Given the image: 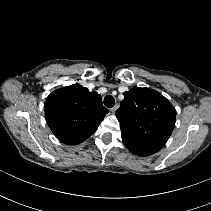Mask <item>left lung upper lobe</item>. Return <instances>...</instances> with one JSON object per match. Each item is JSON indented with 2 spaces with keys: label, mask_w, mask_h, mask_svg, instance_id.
I'll return each instance as SVG.
<instances>
[{
  "label": "left lung upper lobe",
  "mask_w": 211,
  "mask_h": 211,
  "mask_svg": "<svg viewBox=\"0 0 211 211\" xmlns=\"http://www.w3.org/2000/svg\"><path fill=\"white\" fill-rule=\"evenodd\" d=\"M116 117L128 150L139 156H149L158 152L169 139L175 127L176 110L159 92L136 87L124 92Z\"/></svg>",
  "instance_id": "obj_1"
}]
</instances>
